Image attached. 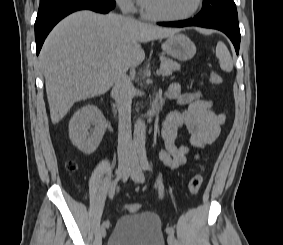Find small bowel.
Returning <instances> with one entry per match:
<instances>
[{"instance_id":"c3829d8e","label":"small bowel","mask_w":283,"mask_h":245,"mask_svg":"<svg viewBox=\"0 0 283 245\" xmlns=\"http://www.w3.org/2000/svg\"><path fill=\"white\" fill-rule=\"evenodd\" d=\"M166 99L175 100L181 107L170 112L161 128L164 149L160 152L161 161L172 169L183 167L191 154V148L176 144L178 130L185 127L193 147L204 149L220 135L225 122V114L212 110V101L204 99L197 92H182L179 83H171L164 93ZM199 155L195 154L194 159Z\"/></svg>"}]
</instances>
